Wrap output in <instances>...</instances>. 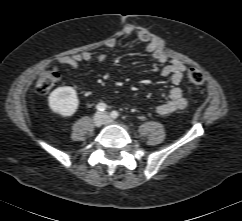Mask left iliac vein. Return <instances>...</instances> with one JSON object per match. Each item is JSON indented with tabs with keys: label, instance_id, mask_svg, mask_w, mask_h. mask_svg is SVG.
Here are the masks:
<instances>
[{
	"label": "left iliac vein",
	"instance_id": "1",
	"mask_svg": "<svg viewBox=\"0 0 242 221\" xmlns=\"http://www.w3.org/2000/svg\"><path fill=\"white\" fill-rule=\"evenodd\" d=\"M102 114L105 116V123L106 124H112L113 123L112 120H110L109 118H107L106 113H102Z\"/></svg>",
	"mask_w": 242,
	"mask_h": 221
}]
</instances>
